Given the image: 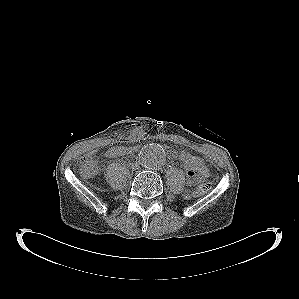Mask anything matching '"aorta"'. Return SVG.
I'll use <instances>...</instances> for the list:
<instances>
[{
	"label": "aorta",
	"mask_w": 299,
	"mask_h": 299,
	"mask_svg": "<svg viewBox=\"0 0 299 299\" xmlns=\"http://www.w3.org/2000/svg\"><path fill=\"white\" fill-rule=\"evenodd\" d=\"M141 164L147 169H156L165 162V151L158 144L145 145L139 154Z\"/></svg>",
	"instance_id": "obj_1"
}]
</instances>
